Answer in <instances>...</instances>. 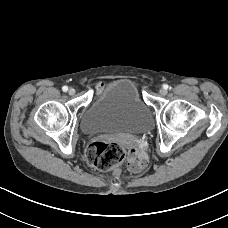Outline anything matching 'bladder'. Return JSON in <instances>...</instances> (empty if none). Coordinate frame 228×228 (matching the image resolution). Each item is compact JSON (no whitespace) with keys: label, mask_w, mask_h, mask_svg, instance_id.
I'll return each instance as SVG.
<instances>
[{"label":"bladder","mask_w":228,"mask_h":228,"mask_svg":"<svg viewBox=\"0 0 228 228\" xmlns=\"http://www.w3.org/2000/svg\"><path fill=\"white\" fill-rule=\"evenodd\" d=\"M80 125L88 135L140 134L152 129L153 117L137 85L129 79H117L96 93Z\"/></svg>","instance_id":"bladder-1"}]
</instances>
